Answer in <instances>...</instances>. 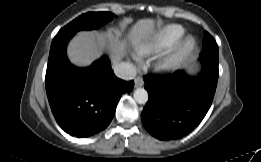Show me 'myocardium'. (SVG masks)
Returning <instances> with one entry per match:
<instances>
[{
    "instance_id": "myocardium-1",
    "label": "myocardium",
    "mask_w": 261,
    "mask_h": 162,
    "mask_svg": "<svg viewBox=\"0 0 261 162\" xmlns=\"http://www.w3.org/2000/svg\"><path fill=\"white\" fill-rule=\"evenodd\" d=\"M196 45V39L187 35L175 43L159 63V68L165 71L180 67L191 54Z\"/></svg>"
}]
</instances>
